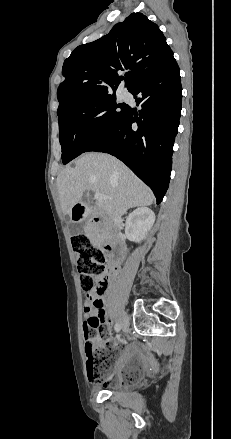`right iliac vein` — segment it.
Returning a JSON list of instances; mask_svg holds the SVG:
<instances>
[{
    "label": "right iliac vein",
    "instance_id": "1",
    "mask_svg": "<svg viewBox=\"0 0 231 439\" xmlns=\"http://www.w3.org/2000/svg\"><path fill=\"white\" fill-rule=\"evenodd\" d=\"M120 326L124 332H127L128 322L125 316H122V318L120 319Z\"/></svg>",
    "mask_w": 231,
    "mask_h": 439
}]
</instances>
